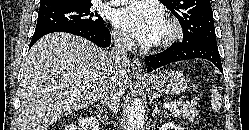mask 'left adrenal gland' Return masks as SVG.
Returning a JSON list of instances; mask_svg holds the SVG:
<instances>
[{"label": "left adrenal gland", "mask_w": 249, "mask_h": 130, "mask_svg": "<svg viewBox=\"0 0 249 130\" xmlns=\"http://www.w3.org/2000/svg\"><path fill=\"white\" fill-rule=\"evenodd\" d=\"M156 115H159V116L162 115V114L160 113V111L158 110L157 104L154 105V109H153V112H152L153 118H155Z\"/></svg>", "instance_id": "a2214340"}]
</instances>
